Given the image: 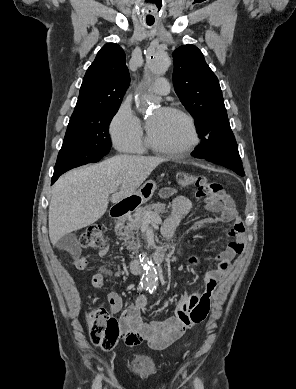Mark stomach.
Listing matches in <instances>:
<instances>
[{
  "label": "stomach",
  "mask_w": 296,
  "mask_h": 389,
  "mask_svg": "<svg viewBox=\"0 0 296 389\" xmlns=\"http://www.w3.org/2000/svg\"><path fill=\"white\" fill-rule=\"evenodd\" d=\"M155 190L156 184L153 181H148L134 194V196L139 197L142 202H145L152 197Z\"/></svg>",
  "instance_id": "1"
}]
</instances>
